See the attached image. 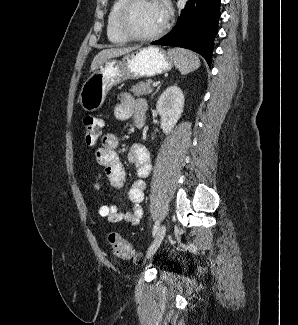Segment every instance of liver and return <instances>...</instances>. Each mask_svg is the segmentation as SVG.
<instances>
[{
  "instance_id": "liver-1",
  "label": "liver",
  "mask_w": 298,
  "mask_h": 325,
  "mask_svg": "<svg viewBox=\"0 0 298 325\" xmlns=\"http://www.w3.org/2000/svg\"><path fill=\"white\" fill-rule=\"evenodd\" d=\"M139 46H127V48H120V46H115V48H103L100 52L95 54L91 64L89 72H94L98 68L99 64L109 60V58H116V56H122V54H127V52H132V50H137Z\"/></svg>"
}]
</instances>
